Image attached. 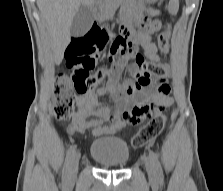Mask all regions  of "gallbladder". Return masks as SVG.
Here are the masks:
<instances>
[{
  "instance_id": "gallbladder-1",
  "label": "gallbladder",
  "mask_w": 223,
  "mask_h": 191,
  "mask_svg": "<svg viewBox=\"0 0 223 191\" xmlns=\"http://www.w3.org/2000/svg\"><path fill=\"white\" fill-rule=\"evenodd\" d=\"M92 22V10L87 6H81L72 21L70 27L71 36L81 37L85 35L91 28Z\"/></svg>"
}]
</instances>
